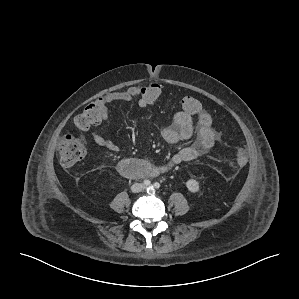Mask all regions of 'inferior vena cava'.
<instances>
[{
	"mask_svg": "<svg viewBox=\"0 0 299 299\" xmlns=\"http://www.w3.org/2000/svg\"><path fill=\"white\" fill-rule=\"evenodd\" d=\"M135 187H140V185H133V188H135ZM136 190V189H135ZM141 189H138L137 188V191H140Z\"/></svg>",
	"mask_w": 299,
	"mask_h": 299,
	"instance_id": "inferior-vena-cava-1",
	"label": "inferior vena cava"
}]
</instances>
